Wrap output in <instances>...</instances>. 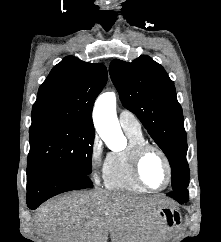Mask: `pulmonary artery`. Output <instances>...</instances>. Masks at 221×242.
Returning <instances> with one entry per match:
<instances>
[{
	"instance_id": "obj_1",
	"label": "pulmonary artery",
	"mask_w": 221,
	"mask_h": 242,
	"mask_svg": "<svg viewBox=\"0 0 221 242\" xmlns=\"http://www.w3.org/2000/svg\"><path fill=\"white\" fill-rule=\"evenodd\" d=\"M119 123L124 129L141 131V125L137 118L128 110H121L119 113Z\"/></svg>"
}]
</instances>
